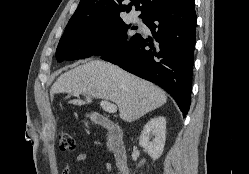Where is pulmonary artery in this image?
<instances>
[{
    "mask_svg": "<svg viewBox=\"0 0 249 174\" xmlns=\"http://www.w3.org/2000/svg\"><path fill=\"white\" fill-rule=\"evenodd\" d=\"M135 21H140V18L139 17H135Z\"/></svg>",
    "mask_w": 249,
    "mask_h": 174,
    "instance_id": "obj_1",
    "label": "pulmonary artery"
}]
</instances>
